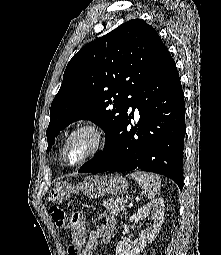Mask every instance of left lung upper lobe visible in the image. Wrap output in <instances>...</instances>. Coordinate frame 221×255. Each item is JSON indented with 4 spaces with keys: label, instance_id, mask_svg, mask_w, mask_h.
Masks as SVG:
<instances>
[{
    "label": "left lung upper lobe",
    "instance_id": "left-lung-upper-lobe-1",
    "mask_svg": "<svg viewBox=\"0 0 221 255\" xmlns=\"http://www.w3.org/2000/svg\"><path fill=\"white\" fill-rule=\"evenodd\" d=\"M167 51L154 28L132 19L88 43L68 63L50 108L49 151L55 137L77 120H91L105 143Z\"/></svg>",
    "mask_w": 221,
    "mask_h": 255
}]
</instances>
